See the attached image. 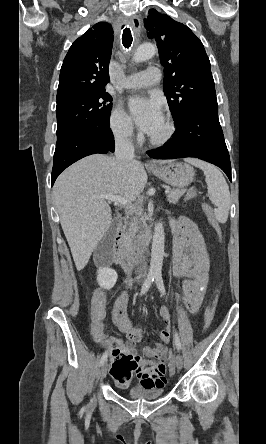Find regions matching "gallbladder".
<instances>
[{"label": "gallbladder", "mask_w": 266, "mask_h": 444, "mask_svg": "<svg viewBox=\"0 0 266 444\" xmlns=\"http://www.w3.org/2000/svg\"><path fill=\"white\" fill-rule=\"evenodd\" d=\"M117 229V221H113L107 233L103 236L95 251L97 263H102L105 258L111 256L112 242Z\"/></svg>", "instance_id": "gallbladder-1"}]
</instances>
